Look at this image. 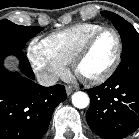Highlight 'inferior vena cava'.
<instances>
[{"label": "inferior vena cava", "instance_id": "obj_1", "mask_svg": "<svg viewBox=\"0 0 139 139\" xmlns=\"http://www.w3.org/2000/svg\"><path fill=\"white\" fill-rule=\"evenodd\" d=\"M37 81L42 86H53L57 83L58 77L53 74L40 73L37 75Z\"/></svg>", "mask_w": 139, "mask_h": 139}]
</instances>
